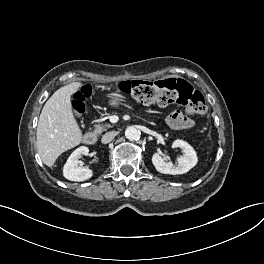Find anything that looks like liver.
Returning <instances> with one entry per match:
<instances>
[{"label":"liver","mask_w":264,"mask_h":264,"mask_svg":"<svg viewBox=\"0 0 264 264\" xmlns=\"http://www.w3.org/2000/svg\"><path fill=\"white\" fill-rule=\"evenodd\" d=\"M83 83L73 82L61 87L45 103L37 126V151L43 163L52 167L65 151L82 141V131L75 120L71 96Z\"/></svg>","instance_id":"6515ba94"}]
</instances>
